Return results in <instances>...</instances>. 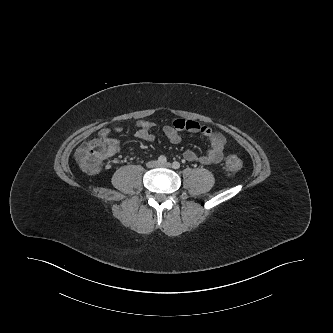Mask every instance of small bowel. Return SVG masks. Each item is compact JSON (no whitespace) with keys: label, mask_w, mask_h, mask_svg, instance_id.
<instances>
[{"label":"small bowel","mask_w":333,"mask_h":333,"mask_svg":"<svg viewBox=\"0 0 333 333\" xmlns=\"http://www.w3.org/2000/svg\"><path fill=\"white\" fill-rule=\"evenodd\" d=\"M154 127L155 125L151 122L140 121L137 123L135 136L144 141H153L155 139V135L152 132ZM112 131L119 133L122 129L119 127H116L113 130L103 128L99 131L98 135L107 142L111 148V153H115L119 149V144L115 139L110 137ZM162 132L165 137L174 144L180 142L182 132L200 134L209 142L210 146L207 152L203 155L192 150H186L183 157L188 162L214 165L220 163L223 159L226 139L221 133L213 131L209 127L200 125L192 120L176 119L172 124L163 126Z\"/></svg>","instance_id":"obj_1"}]
</instances>
